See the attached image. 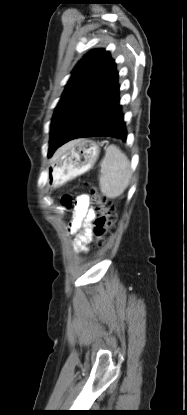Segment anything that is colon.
I'll list each match as a JSON object with an SVG mask.
<instances>
[{
  "label": "colon",
  "instance_id": "1",
  "mask_svg": "<svg viewBox=\"0 0 187 415\" xmlns=\"http://www.w3.org/2000/svg\"><path fill=\"white\" fill-rule=\"evenodd\" d=\"M91 196L96 204L97 217L91 228L92 234L97 241H102L105 236L113 229V211L114 205L110 198L102 195L97 188L91 189ZM70 198L63 199L64 204H69Z\"/></svg>",
  "mask_w": 187,
  "mask_h": 415
}]
</instances>
